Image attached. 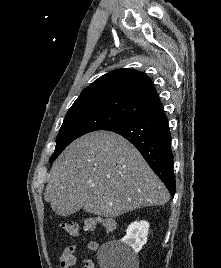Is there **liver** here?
<instances>
[{"mask_svg":"<svg viewBox=\"0 0 221 268\" xmlns=\"http://www.w3.org/2000/svg\"><path fill=\"white\" fill-rule=\"evenodd\" d=\"M169 192L139 151L120 135L97 131L72 142L53 164L44 198L67 216L83 208L104 217L163 205Z\"/></svg>","mask_w":221,"mask_h":268,"instance_id":"6515ba94","label":"liver"}]
</instances>
